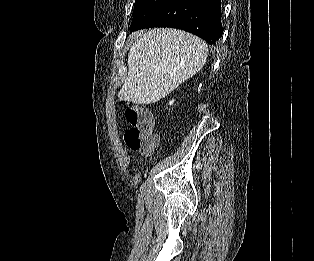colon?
<instances>
[{
	"label": "colon",
	"instance_id": "colon-1",
	"mask_svg": "<svg viewBox=\"0 0 314 261\" xmlns=\"http://www.w3.org/2000/svg\"><path fill=\"white\" fill-rule=\"evenodd\" d=\"M123 114L130 124L124 135L127 147L131 151L151 152L157 141L152 113L143 106L127 104L124 106Z\"/></svg>",
	"mask_w": 314,
	"mask_h": 261
}]
</instances>
